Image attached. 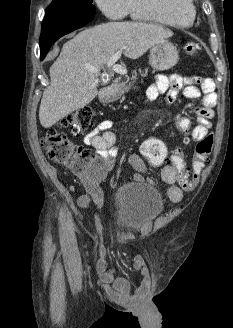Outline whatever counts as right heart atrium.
I'll use <instances>...</instances> for the list:
<instances>
[{
  "label": "right heart atrium",
  "instance_id": "d8ad5b80",
  "mask_svg": "<svg viewBox=\"0 0 233 328\" xmlns=\"http://www.w3.org/2000/svg\"><path fill=\"white\" fill-rule=\"evenodd\" d=\"M99 10L109 19L119 20L129 12V0H95Z\"/></svg>",
  "mask_w": 233,
  "mask_h": 328
}]
</instances>
